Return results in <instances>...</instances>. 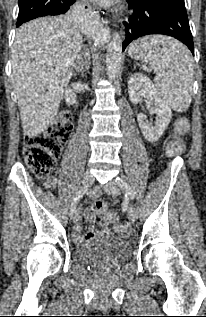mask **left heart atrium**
Instances as JSON below:
<instances>
[{
  "label": "left heart atrium",
  "mask_w": 206,
  "mask_h": 317,
  "mask_svg": "<svg viewBox=\"0 0 206 317\" xmlns=\"http://www.w3.org/2000/svg\"><path fill=\"white\" fill-rule=\"evenodd\" d=\"M95 1H98L99 3L103 5H110L114 2V0H95Z\"/></svg>",
  "instance_id": "1"
}]
</instances>
